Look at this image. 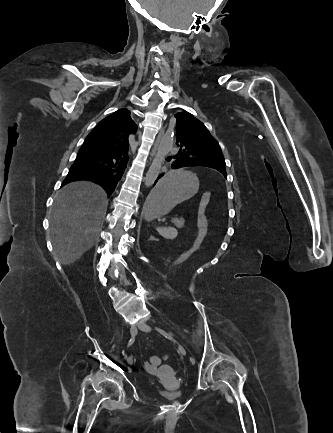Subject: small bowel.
Here are the masks:
<instances>
[{
	"instance_id": "small-bowel-1",
	"label": "small bowel",
	"mask_w": 333,
	"mask_h": 433,
	"mask_svg": "<svg viewBox=\"0 0 333 433\" xmlns=\"http://www.w3.org/2000/svg\"><path fill=\"white\" fill-rule=\"evenodd\" d=\"M181 258H182V256H181ZM146 369H147V371H148L149 373H151V374H157V372H158L157 369L150 368V367H148V365H146Z\"/></svg>"
}]
</instances>
